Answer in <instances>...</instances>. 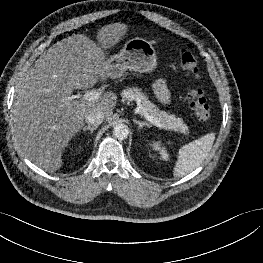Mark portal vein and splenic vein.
<instances>
[{
    "instance_id": "obj_1",
    "label": "portal vein and splenic vein",
    "mask_w": 263,
    "mask_h": 263,
    "mask_svg": "<svg viewBox=\"0 0 263 263\" xmlns=\"http://www.w3.org/2000/svg\"><path fill=\"white\" fill-rule=\"evenodd\" d=\"M100 95H101V93L98 91H89V92H86L82 98L84 100L95 101V100H98L100 98ZM141 115L144 116L145 119L148 120L149 122H151L153 125H155L159 128L162 127L161 123L156 118L150 116L148 113H141Z\"/></svg>"
}]
</instances>
